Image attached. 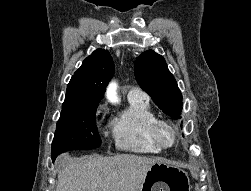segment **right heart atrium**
<instances>
[{
    "label": "right heart atrium",
    "mask_w": 251,
    "mask_h": 191,
    "mask_svg": "<svg viewBox=\"0 0 251 191\" xmlns=\"http://www.w3.org/2000/svg\"><path fill=\"white\" fill-rule=\"evenodd\" d=\"M106 107L105 105H99L97 107V109L95 110V113H94V118L96 120L100 119L105 113H106Z\"/></svg>",
    "instance_id": "d8ad5b80"
}]
</instances>
